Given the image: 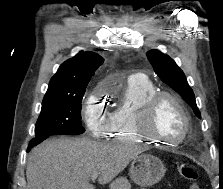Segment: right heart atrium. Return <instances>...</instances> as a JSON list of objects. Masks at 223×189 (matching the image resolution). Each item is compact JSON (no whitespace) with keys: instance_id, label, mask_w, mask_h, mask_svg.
Returning <instances> with one entry per match:
<instances>
[{"instance_id":"obj_1","label":"right heart atrium","mask_w":223,"mask_h":189,"mask_svg":"<svg viewBox=\"0 0 223 189\" xmlns=\"http://www.w3.org/2000/svg\"><path fill=\"white\" fill-rule=\"evenodd\" d=\"M100 88H96L86 99L83 106V116L86 126L94 137H101L106 133L108 112L102 105Z\"/></svg>"}]
</instances>
